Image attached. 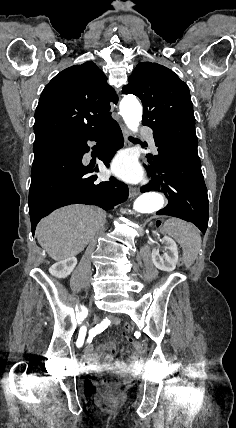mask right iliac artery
<instances>
[{
  "instance_id": "obj_1",
  "label": "right iliac artery",
  "mask_w": 236,
  "mask_h": 428,
  "mask_svg": "<svg viewBox=\"0 0 236 428\" xmlns=\"http://www.w3.org/2000/svg\"><path fill=\"white\" fill-rule=\"evenodd\" d=\"M86 331H87V329H86L85 326H82L80 328L79 336H78V339H77V342H76L77 347H81L83 345L84 339H85V335H86Z\"/></svg>"
}]
</instances>
